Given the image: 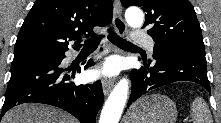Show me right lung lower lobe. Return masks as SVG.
I'll return each instance as SVG.
<instances>
[{
  "instance_id": "98d812e1",
  "label": "right lung lower lobe",
  "mask_w": 221,
  "mask_h": 123,
  "mask_svg": "<svg viewBox=\"0 0 221 123\" xmlns=\"http://www.w3.org/2000/svg\"><path fill=\"white\" fill-rule=\"evenodd\" d=\"M63 58L11 67L12 74L2 110L6 111L17 104L37 102L62 108L81 123H95L104 100L101 82L78 86L69 82L74 78V73H64L59 66ZM91 65L93 62L89 60L85 69Z\"/></svg>"
}]
</instances>
